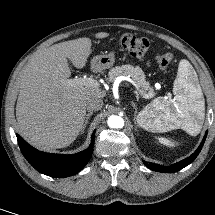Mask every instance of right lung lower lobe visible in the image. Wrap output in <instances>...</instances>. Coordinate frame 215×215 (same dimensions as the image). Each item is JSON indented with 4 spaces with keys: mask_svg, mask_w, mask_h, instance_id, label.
Wrapping results in <instances>:
<instances>
[{
    "mask_svg": "<svg viewBox=\"0 0 215 215\" xmlns=\"http://www.w3.org/2000/svg\"><path fill=\"white\" fill-rule=\"evenodd\" d=\"M94 133L90 146L71 155L52 154L38 151L16 134L19 147L27 161L40 173L51 177H68L78 173L88 163L94 146Z\"/></svg>",
    "mask_w": 215,
    "mask_h": 215,
    "instance_id": "right-lung-lower-lobe-1",
    "label": "right lung lower lobe"
}]
</instances>
